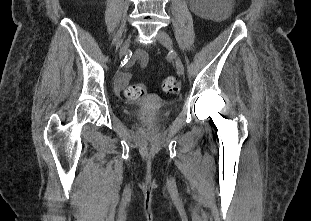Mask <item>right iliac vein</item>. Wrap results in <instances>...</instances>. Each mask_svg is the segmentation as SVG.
<instances>
[{
	"instance_id": "1",
	"label": "right iliac vein",
	"mask_w": 311,
	"mask_h": 221,
	"mask_svg": "<svg viewBox=\"0 0 311 221\" xmlns=\"http://www.w3.org/2000/svg\"><path fill=\"white\" fill-rule=\"evenodd\" d=\"M129 45H130V37L123 43L120 49L119 53L120 58H122L127 53Z\"/></svg>"
}]
</instances>
